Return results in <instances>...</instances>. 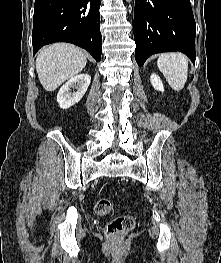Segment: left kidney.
<instances>
[{"label":"left kidney","instance_id":"1","mask_svg":"<svg viewBox=\"0 0 221 263\" xmlns=\"http://www.w3.org/2000/svg\"><path fill=\"white\" fill-rule=\"evenodd\" d=\"M150 81L155 90H158L161 92L164 91L163 83L158 75L152 74L150 76Z\"/></svg>","mask_w":221,"mask_h":263}]
</instances>
